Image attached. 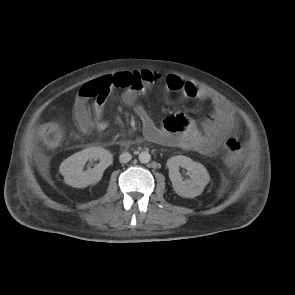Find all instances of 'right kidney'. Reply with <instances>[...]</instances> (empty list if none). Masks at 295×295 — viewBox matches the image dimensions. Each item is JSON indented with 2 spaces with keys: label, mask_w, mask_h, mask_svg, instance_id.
<instances>
[{
  "label": "right kidney",
  "mask_w": 295,
  "mask_h": 295,
  "mask_svg": "<svg viewBox=\"0 0 295 295\" xmlns=\"http://www.w3.org/2000/svg\"><path fill=\"white\" fill-rule=\"evenodd\" d=\"M99 159V164L94 168L83 171V165L88 160ZM112 154L101 147H90L77 152L60 165V173L64 176L66 184L75 188H85L90 184H96L103 176L104 170L112 164Z\"/></svg>",
  "instance_id": "right-kidney-1"
}]
</instances>
